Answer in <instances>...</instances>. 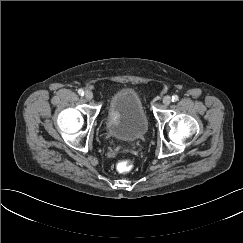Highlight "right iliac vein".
I'll use <instances>...</instances> for the list:
<instances>
[{
    "label": "right iliac vein",
    "instance_id": "63e3f726",
    "mask_svg": "<svg viewBox=\"0 0 243 243\" xmlns=\"http://www.w3.org/2000/svg\"><path fill=\"white\" fill-rule=\"evenodd\" d=\"M85 98H86L87 100H91V99L93 98V93H92L91 91L87 90V91L85 92Z\"/></svg>",
    "mask_w": 243,
    "mask_h": 243
}]
</instances>
